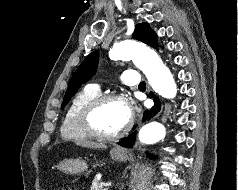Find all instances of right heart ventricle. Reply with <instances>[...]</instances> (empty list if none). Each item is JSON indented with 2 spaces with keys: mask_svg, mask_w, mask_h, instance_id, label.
Wrapping results in <instances>:
<instances>
[{
  "mask_svg": "<svg viewBox=\"0 0 238 190\" xmlns=\"http://www.w3.org/2000/svg\"><path fill=\"white\" fill-rule=\"evenodd\" d=\"M98 95V91L91 87H87L74 96L67 108L61 125V136L65 140L85 141L90 139L81 128L79 117L82 109Z\"/></svg>",
  "mask_w": 238,
  "mask_h": 190,
  "instance_id": "right-heart-ventricle-1",
  "label": "right heart ventricle"
}]
</instances>
